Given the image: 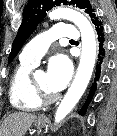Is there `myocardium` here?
<instances>
[{"instance_id":"1","label":"myocardium","mask_w":117,"mask_h":136,"mask_svg":"<svg viewBox=\"0 0 117 136\" xmlns=\"http://www.w3.org/2000/svg\"><path fill=\"white\" fill-rule=\"evenodd\" d=\"M32 86H33V91H34L35 97L39 101L40 104L53 103V102H55L56 100L59 99V94H57V93L52 94V95L45 93L39 87L35 78H32Z\"/></svg>"}]
</instances>
